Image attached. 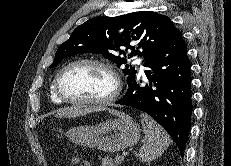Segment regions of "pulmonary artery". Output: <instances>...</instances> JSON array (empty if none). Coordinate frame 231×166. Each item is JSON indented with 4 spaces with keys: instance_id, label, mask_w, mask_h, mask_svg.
Listing matches in <instances>:
<instances>
[{
    "instance_id": "1",
    "label": "pulmonary artery",
    "mask_w": 231,
    "mask_h": 166,
    "mask_svg": "<svg viewBox=\"0 0 231 166\" xmlns=\"http://www.w3.org/2000/svg\"><path fill=\"white\" fill-rule=\"evenodd\" d=\"M138 61H140V60H138ZM143 69H144V67L141 65V71H143Z\"/></svg>"
}]
</instances>
